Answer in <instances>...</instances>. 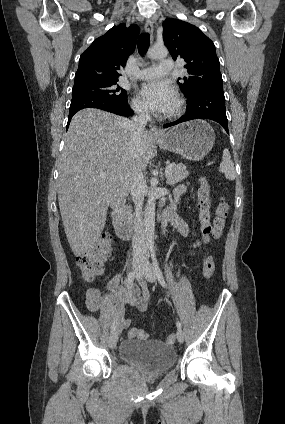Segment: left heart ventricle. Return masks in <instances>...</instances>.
<instances>
[{
    "instance_id": "left-heart-ventricle-1",
    "label": "left heart ventricle",
    "mask_w": 285,
    "mask_h": 424,
    "mask_svg": "<svg viewBox=\"0 0 285 424\" xmlns=\"http://www.w3.org/2000/svg\"><path fill=\"white\" fill-rule=\"evenodd\" d=\"M174 107H175V103H174V105H173V107H172V109H171L170 111H172V110L174 109ZM170 111H169V112H170Z\"/></svg>"
}]
</instances>
